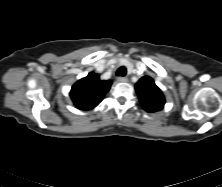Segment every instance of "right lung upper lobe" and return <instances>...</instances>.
I'll return each instance as SVG.
<instances>
[{
	"label": "right lung upper lobe",
	"mask_w": 222,
	"mask_h": 187,
	"mask_svg": "<svg viewBox=\"0 0 222 187\" xmlns=\"http://www.w3.org/2000/svg\"><path fill=\"white\" fill-rule=\"evenodd\" d=\"M111 84L112 81L100 80L98 74L91 72L72 86L70 96L78 109L90 110L102 101Z\"/></svg>",
	"instance_id": "right-lung-upper-lobe-1"
}]
</instances>
